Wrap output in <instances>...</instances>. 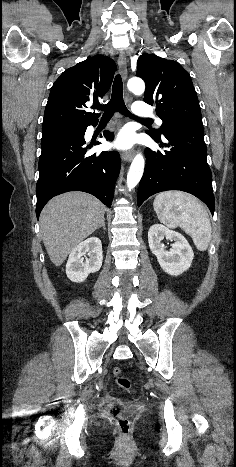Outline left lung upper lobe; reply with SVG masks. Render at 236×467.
<instances>
[{"label":"left lung upper lobe","instance_id":"obj_1","mask_svg":"<svg viewBox=\"0 0 236 467\" xmlns=\"http://www.w3.org/2000/svg\"><path fill=\"white\" fill-rule=\"evenodd\" d=\"M137 76L146 83L144 101L156 103L160 130L146 131L160 138L164 130L177 126H203L200 105L188 72L176 61L143 54L137 61Z\"/></svg>","mask_w":236,"mask_h":467}]
</instances>
